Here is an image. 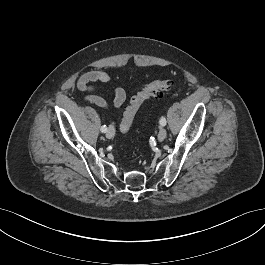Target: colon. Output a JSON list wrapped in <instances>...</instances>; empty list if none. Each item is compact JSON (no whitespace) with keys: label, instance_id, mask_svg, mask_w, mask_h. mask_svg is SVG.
<instances>
[{"label":"colon","instance_id":"1","mask_svg":"<svg viewBox=\"0 0 265 265\" xmlns=\"http://www.w3.org/2000/svg\"><path fill=\"white\" fill-rule=\"evenodd\" d=\"M175 88V83L169 79H154L149 81L145 87L131 98L129 106L123 114L120 130L128 132L133 123V119L141 104L149 99L158 98L165 92H170Z\"/></svg>","mask_w":265,"mask_h":265}]
</instances>
